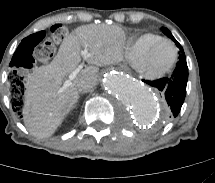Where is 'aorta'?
I'll list each match as a JSON object with an SVG mask.
<instances>
[{"label": "aorta", "instance_id": "762f6f07", "mask_svg": "<svg viewBox=\"0 0 215 183\" xmlns=\"http://www.w3.org/2000/svg\"><path fill=\"white\" fill-rule=\"evenodd\" d=\"M102 85L114 100L127 106L141 125L157 124L163 116V108L156 97L141 83L119 71L103 74Z\"/></svg>", "mask_w": 215, "mask_h": 183}]
</instances>
